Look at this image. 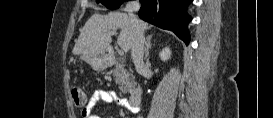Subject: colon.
Instances as JSON below:
<instances>
[{
	"instance_id": "1",
	"label": "colon",
	"mask_w": 273,
	"mask_h": 118,
	"mask_svg": "<svg viewBox=\"0 0 273 118\" xmlns=\"http://www.w3.org/2000/svg\"><path fill=\"white\" fill-rule=\"evenodd\" d=\"M71 96L74 104L77 107H84L87 103V98L84 91L81 88L74 87L71 91Z\"/></svg>"
}]
</instances>
